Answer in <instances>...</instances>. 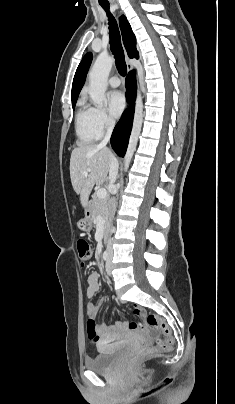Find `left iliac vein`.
Here are the masks:
<instances>
[{
	"label": "left iliac vein",
	"mask_w": 235,
	"mask_h": 404,
	"mask_svg": "<svg viewBox=\"0 0 235 404\" xmlns=\"http://www.w3.org/2000/svg\"><path fill=\"white\" fill-rule=\"evenodd\" d=\"M112 270V254L110 253L106 262V272L108 275H111Z\"/></svg>",
	"instance_id": "1"
}]
</instances>
